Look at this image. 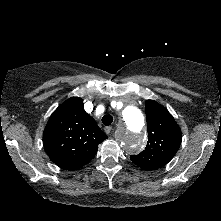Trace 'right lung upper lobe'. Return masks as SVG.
Listing matches in <instances>:
<instances>
[{"instance_id":"cb5924a9","label":"right lung upper lobe","mask_w":221,"mask_h":221,"mask_svg":"<svg viewBox=\"0 0 221 221\" xmlns=\"http://www.w3.org/2000/svg\"><path fill=\"white\" fill-rule=\"evenodd\" d=\"M107 135L85 112L83 100L71 97L50 116L43 133L49 158L59 167L76 170L93 159Z\"/></svg>"}]
</instances>
